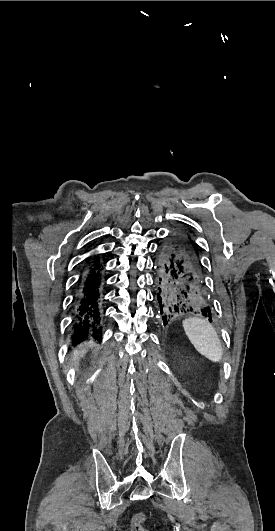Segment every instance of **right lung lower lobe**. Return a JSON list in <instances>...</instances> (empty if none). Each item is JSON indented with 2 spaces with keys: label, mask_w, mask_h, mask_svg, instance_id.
<instances>
[{
  "label": "right lung lower lobe",
  "mask_w": 275,
  "mask_h": 531,
  "mask_svg": "<svg viewBox=\"0 0 275 531\" xmlns=\"http://www.w3.org/2000/svg\"><path fill=\"white\" fill-rule=\"evenodd\" d=\"M101 264L99 259L89 263L80 281L76 294V311L73 321L72 340L75 344L85 336L101 339L99 298L101 286Z\"/></svg>",
  "instance_id": "98d812e1"
}]
</instances>
